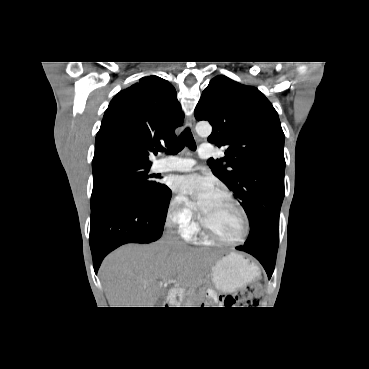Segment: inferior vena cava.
Listing matches in <instances>:
<instances>
[{"label":"inferior vena cava","mask_w":369,"mask_h":369,"mask_svg":"<svg viewBox=\"0 0 369 369\" xmlns=\"http://www.w3.org/2000/svg\"><path fill=\"white\" fill-rule=\"evenodd\" d=\"M176 227H177L176 221L173 220L172 218H168L166 222V226H165L164 236H163V239L165 241L179 242L177 232H176Z\"/></svg>","instance_id":"obj_1"}]
</instances>
